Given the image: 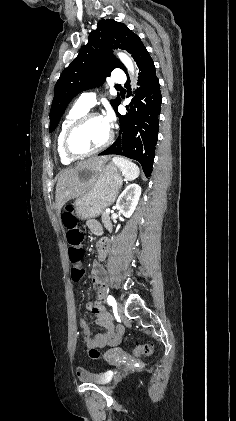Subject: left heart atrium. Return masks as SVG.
<instances>
[{
    "label": "left heart atrium",
    "instance_id": "obj_1",
    "mask_svg": "<svg viewBox=\"0 0 236 421\" xmlns=\"http://www.w3.org/2000/svg\"><path fill=\"white\" fill-rule=\"evenodd\" d=\"M103 119H104L105 123L107 124V126L109 128H111L112 125H113V122H114L113 115L110 112H108L104 115Z\"/></svg>",
    "mask_w": 236,
    "mask_h": 421
}]
</instances>
